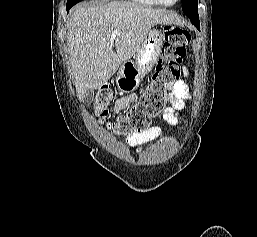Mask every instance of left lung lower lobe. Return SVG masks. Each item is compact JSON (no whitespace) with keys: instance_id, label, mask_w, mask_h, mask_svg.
<instances>
[{"instance_id":"1","label":"left lung lower lobe","mask_w":257,"mask_h":237,"mask_svg":"<svg viewBox=\"0 0 257 237\" xmlns=\"http://www.w3.org/2000/svg\"><path fill=\"white\" fill-rule=\"evenodd\" d=\"M191 22L198 30H200L199 20H191Z\"/></svg>"}]
</instances>
